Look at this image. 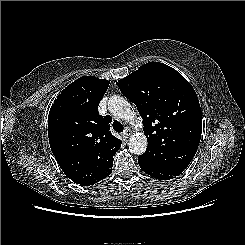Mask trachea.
Segmentation results:
<instances>
[{
	"label": "trachea",
	"mask_w": 245,
	"mask_h": 245,
	"mask_svg": "<svg viewBox=\"0 0 245 245\" xmlns=\"http://www.w3.org/2000/svg\"><path fill=\"white\" fill-rule=\"evenodd\" d=\"M113 129L117 132H122L123 131V125L119 121H114L113 124Z\"/></svg>",
	"instance_id": "1"
}]
</instances>
